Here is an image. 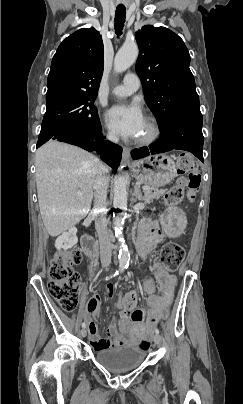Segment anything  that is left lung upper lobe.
<instances>
[{"mask_svg":"<svg viewBox=\"0 0 243 404\" xmlns=\"http://www.w3.org/2000/svg\"><path fill=\"white\" fill-rule=\"evenodd\" d=\"M139 46L136 72L159 128L182 113L200 114L199 97L183 40L165 27L146 25L135 34Z\"/></svg>","mask_w":243,"mask_h":404,"instance_id":"obj_1","label":"left lung upper lobe"}]
</instances>
